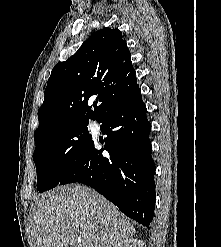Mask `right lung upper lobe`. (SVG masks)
<instances>
[{"mask_svg":"<svg viewBox=\"0 0 221 247\" xmlns=\"http://www.w3.org/2000/svg\"><path fill=\"white\" fill-rule=\"evenodd\" d=\"M139 89L126 41L117 28L93 33L68 60L52 70L38 111V137L62 124L98 120ZM97 95L94 110L88 106Z\"/></svg>","mask_w":221,"mask_h":247,"instance_id":"1","label":"right lung upper lobe"}]
</instances>
